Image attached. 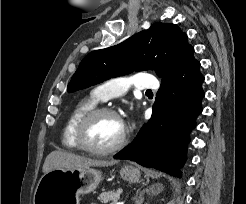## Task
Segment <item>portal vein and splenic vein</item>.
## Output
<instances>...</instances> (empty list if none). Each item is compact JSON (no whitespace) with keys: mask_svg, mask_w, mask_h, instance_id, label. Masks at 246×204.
Masks as SVG:
<instances>
[{"mask_svg":"<svg viewBox=\"0 0 246 204\" xmlns=\"http://www.w3.org/2000/svg\"><path fill=\"white\" fill-rule=\"evenodd\" d=\"M112 204H118L117 201H114Z\"/></svg>","mask_w":246,"mask_h":204,"instance_id":"portal-vein-and-splenic-vein-1","label":"portal vein and splenic vein"}]
</instances>
